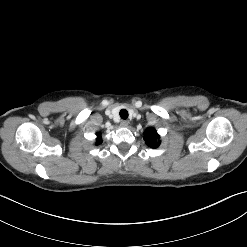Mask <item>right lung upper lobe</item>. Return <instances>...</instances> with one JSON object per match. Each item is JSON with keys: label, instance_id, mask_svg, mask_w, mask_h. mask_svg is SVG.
<instances>
[{"label": "right lung upper lobe", "instance_id": "cb5924a9", "mask_svg": "<svg viewBox=\"0 0 247 247\" xmlns=\"http://www.w3.org/2000/svg\"><path fill=\"white\" fill-rule=\"evenodd\" d=\"M98 138H97V141H96V144H100L102 142L101 140V137H100V133L97 134Z\"/></svg>", "mask_w": 247, "mask_h": 247}]
</instances>
